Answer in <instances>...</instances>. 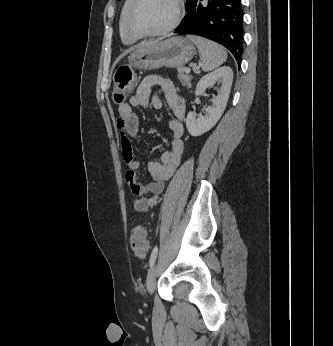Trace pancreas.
<instances>
[{
	"instance_id": "1",
	"label": "pancreas",
	"mask_w": 333,
	"mask_h": 346,
	"mask_svg": "<svg viewBox=\"0 0 333 346\" xmlns=\"http://www.w3.org/2000/svg\"><path fill=\"white\" fill-rule=\"evenodd\" d=\"M178 78L182 82L183 86H186L187 88L191 87V79L192 77L189 74L184 73V68H178Z\"/></svg>"
}]
</instances>
